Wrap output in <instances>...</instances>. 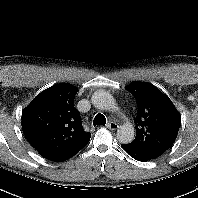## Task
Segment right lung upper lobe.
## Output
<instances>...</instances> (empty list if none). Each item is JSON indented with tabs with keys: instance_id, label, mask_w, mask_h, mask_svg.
Wrapping results in <instances>:
<instances>
[{
	"instance_id": "right-lung-upper-lobe-1",
	"label": "right lung upper lobe",
	"mask_w": 198,
	"mask_h": 198,
	"mask_svg": "<svg viewBox=\"0 0 198 198\" xmlns=\"http://www.w3.org/2000/svg\"><path fill=\"white\" fill-rule=\"evenodd\" d=\"M77 88L62 83L42 91L22 112V129L38 152H56L90 141L74 107Z\"/></svg>"
}]
</instances>
